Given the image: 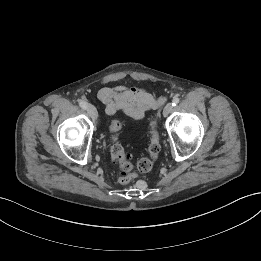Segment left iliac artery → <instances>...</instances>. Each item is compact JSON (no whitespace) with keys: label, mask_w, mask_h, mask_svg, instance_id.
Masks as SVG:
<instances>
[{"label":"left iliac artery","mask_w":261,"mask_h":261,"mask_svg":"<svg viewBox=\"0 0 261 261\" xmlns=\"http://www.w3.org/2000/svg\"><path fill=\"white\" fill-rule=\"evenodd\" d=\"M179 103V98L178 97H174L172 100V105L176 106Z\"/></svg>","instance_id":"left-iliac-artery-1"}]
</instances>
